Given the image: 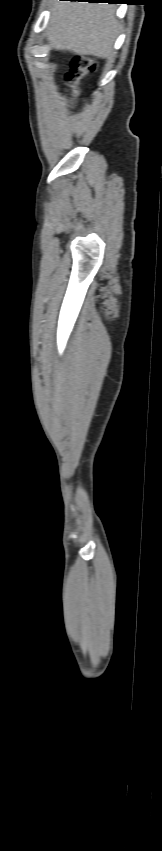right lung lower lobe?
I'll return each mask as SVG.
<instances>
[{"instance_id": "98d812e1", "label": "right lung lower lobe", "mask_w": 162, "mask_h": 851, "mask_svg": "<svg viewBox=\"0 0 162 851\" xmlns=\"http://www.w3.org/2000/svg\"><path fill=\"white\" fill-rule=\"evenodd\" d=\"M70 1H88V2H98V3H109V4H119L122 3L123 0H70Z\"/></svg>"}]
</instances>
